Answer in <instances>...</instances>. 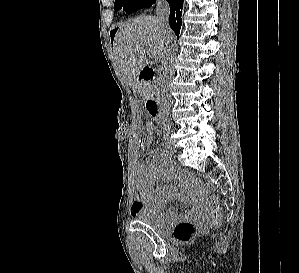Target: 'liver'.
Masks as SVG:
<instances>
[{
	"label": "liver",
	"instance_id": "obj_1",
	"mask_svg": "<svg viewBox=\"0 0 299 273\" xmlns=\"http://www.w3.org/2000/svg\"><path fill=\"white\" fill-rule=\"evenodd\" d=\"M173 39L172 31L169 29L164 34L152 16H140L120 24L113 51L122 76L134 90L138 88V75L147 64L146 55L160 60L167 41Z\"/></svg>",
	"mask_w": 299,
	"mask_h": 273
}]
</instances>
